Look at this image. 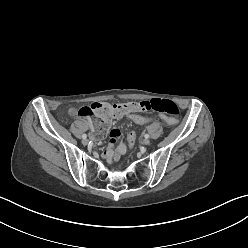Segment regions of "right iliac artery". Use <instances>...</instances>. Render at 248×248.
<instances>
[{"instance_id":"obj_1","label":"right iliac artery","mask_w":248,"mask_h":248,"mask_svg":"<svg viewBox=\"0 0 248 248\" xmlns=\"http://www.w3.org/2000/svg\"><path fill=\"white\" fill-rule=\"evenodd\" d=\"M82 138H83V139H86V138H87V135H86V134H83V135H82Z\"/></svg>"}]
</instances>
